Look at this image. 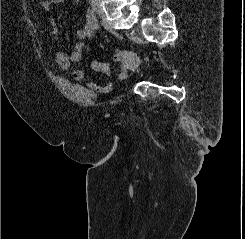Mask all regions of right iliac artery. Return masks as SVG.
Wrapping results in <instances>:
<instances>
[{
    "label": "right iliac artery",
    "mask_w": 245,
    "mask_h": 239,
    "mask_svg": "<svg viewBox=\"0 0 245 239\" xmlns=\"http://www.w3.org/2000/svg\"><path fill=\"white\" fill-rule=\"evenodd\" d=\"M100 24H101V26H102L106 31L109 30V26H108L107 23H105L104 21H100Z\"/></svg>",
    "instance_id": "1"
}]
</instances>
